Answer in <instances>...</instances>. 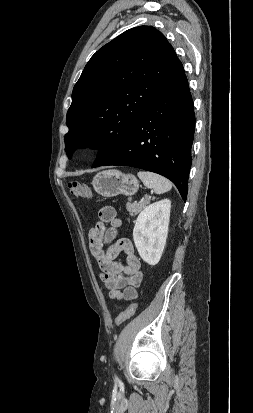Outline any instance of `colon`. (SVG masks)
Instances as JSON below:
<instances>
[{
    "label": "colon",
    "instance_id": "1",
    "mask_svg": "<svg viewBox=\"0 0 253 413\" xmlns=\"http://www.w3.org/2000/svg\"><path fill=\"white\" fill-rule=\"evenodd\" d=\"M68 188L70 193L79 199L89 198L92 194L90 188L86 184L79 181H70L68 183ZM137 307V303H132L129 305L126 310L117 316L115 320L116 325H120L130 319L135 314Z\"/></svg>",
    "mask_w": 253,
    "mask_h": 413
}]
</instances>
